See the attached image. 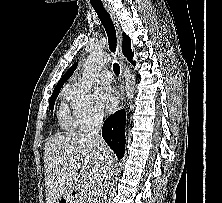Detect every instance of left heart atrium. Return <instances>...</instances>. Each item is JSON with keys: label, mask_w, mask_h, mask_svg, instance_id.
Segmentation results:
<instances>
[{"label": "left heart atrium", "mask_w": 222, "mask_h": 203, "mask_svg": "<svg viewBox=\"0 0 222 203\" xmlns=\"http://www.w3.org/2000/svg\"><path fill=\"white\" fill-rule=\"evenodd\" d=\"M95 95L98 107L107 113L112 112L119 101L117 91L111 86H103L98 88Z\"/></svg>", "instance_id": "obj_1"}]
</instances>
